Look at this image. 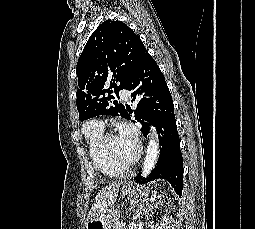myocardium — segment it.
Wrapping results in <instances>:
<instances>
[{
  "mask_svg": "<svg viewBox=\"0 0 255 229\" xmlns=\"http://www.w3.org/2000/svg\"><path fill=\"white\" fill-rule=\"evenodd\" d=\"M114 136L116 135L113 132H108L103 134L99 142V150L101 154L110 162L112 166L124 172V170H127L136 164V162L140 158L141 150L140 148H137L135 156L130 161L121 162V161L113 159L112 155L108 151L107 143H108V140Z\"/></svg>",
  "mask_w": 255,
  "mask_h": 229,
  "instance_id": "myocardium-1",
  "label": "myocardium"
}]
</instances>
